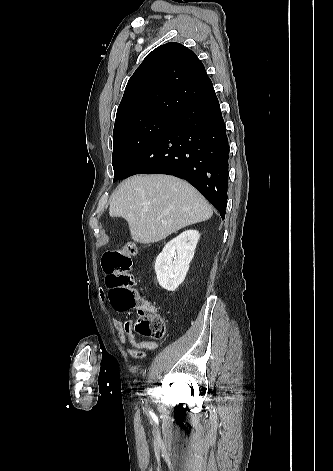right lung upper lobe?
<instances>
[{"instance_id": "cb5924a9", "label": "right lung upper lobe", "mask_w": 333, "mask_h": 471, "mask_svg": "<svg viewBox=\"0 0 333 471\" xmlns=\"http://www.w3.org/2000/svg\"><path fill=\"white\" fill-rule=\"evenodd\" d=\"M212 87L203 63L192 50L175 42L161 45L129 79L116 120L145 112L176 116Z\"/></svg>"}]
</instances>
